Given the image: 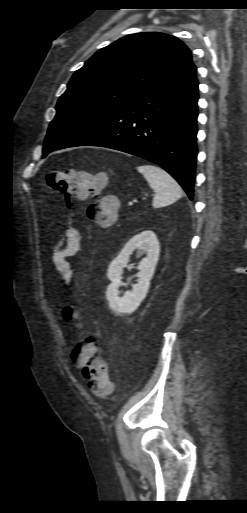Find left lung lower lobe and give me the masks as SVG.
I'll return each instance as SVG.
<instances>
[{
    "instance_id": "0a47b994",
    "label": "left lung lower lobe",
    "mask_w": 247,
    "mask_h": 513,
    "mask_svg": "<svg viewBox=\"0 0 247 513\" xmlns=\"http://www.w3.org/2000/svg\"><path fill=\"white\" fill-rule=\"evenodd\" d=\"M198 81L193 62L54 150L100 146L158 164L193 198L197 158Z\"/></svg>"
}]
</instances>
